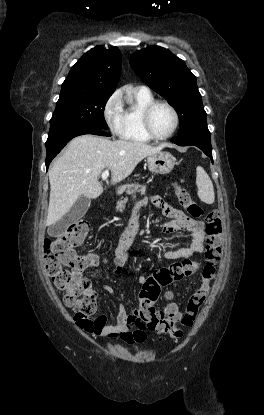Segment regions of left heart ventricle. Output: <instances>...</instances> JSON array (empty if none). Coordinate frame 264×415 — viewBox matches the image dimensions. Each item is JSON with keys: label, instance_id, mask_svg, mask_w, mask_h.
<instances>
[{"label": "left heart ventricle", "instance_id": "obj_1", "mask_svg": "<svg viewBox=\"0 0 264 415\" xmlns=\"http://www.w3.org/2000/svg\"><path fill=\"white\" fill-rule=\"evenodd\" d=\"M174 117L171 111L163 106H157L151 114V125L157 135L167 134L173 127Z\"/></svg>", "mask_w": 264, "mask_h": 415}]
</instances>
